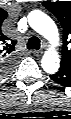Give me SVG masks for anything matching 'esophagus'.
<instances>
[{
    "mask_svg": "<svg viewBox=\"0 0 71 119\" xmlns=\"http://www.w3.org/2000/svg\"><path fill=\"white\" fill-rule=\"evenodd\" d=\"M32 53L35 55V56H41L42 55V53H43V51H41V50H34V51H32Z\"/></svg>",
    "mask_w": 71,
    "mask_h": 119,
    "instance_id": "esophagus-1",
    "label": "esophagus"
}]
</instances>
